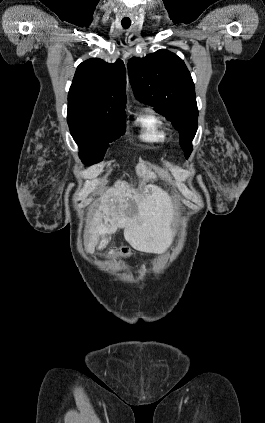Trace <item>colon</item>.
Returning <instances> with one entry per match:
<instances>
[{
	"mask_svg": "<svg viewBox=\"0 0 265 423\" xmlns=\"http://www.w3.org/2000/svg\"><path fill=\"white\" fill-rule=\"evenodd\" d=\"M116 254H120L122 256L127 257L131 255V250L128 247H122L118 252H114V251L109 252L108 256L112 257Z\"/></svg>",
	"mask_w": 265,
	"mask_h": 423,
	"instance_id": "obj_1",
	"label": "colon"
}]
</instances>
